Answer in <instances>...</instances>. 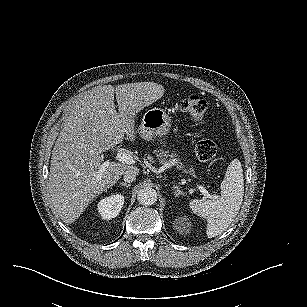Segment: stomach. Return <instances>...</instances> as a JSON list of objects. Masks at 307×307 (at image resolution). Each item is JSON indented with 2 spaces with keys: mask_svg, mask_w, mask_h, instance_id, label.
Segmentation results:
<instances>
[{
  "mask_svg": "<svg viewBox=\"0 0 307 307\" xmlns=\"http://www.w3.org/2000/svg\"><path fill=\"white\" fill-rule=\"evenodd\" d=\"M170 123L171 118L163 109L152 108L144 113L141 124L136 128V134L143 141H151L165 135ZM184 171L189 172L185 169Z\"/></svg>",
  "mask_w": 307,
  "mask_h": 307,
  "instance_id": "obj_1",
  "label": "stomach"
}]
</instances>
